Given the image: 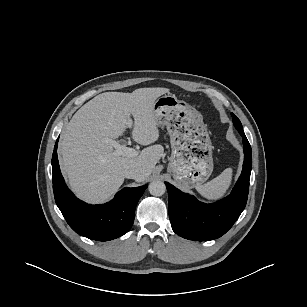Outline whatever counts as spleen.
Segmentation results:
<instances>
[{
	"instance_id": "1",
	"label": "spleen",
	"mask_w": 307,
	"mask_h": 307,
	"mask_svg": "<svg viewBox=\"0 0 307 307\" xmlns=\"http://www.w3.org/2000/svg\"><path fill=\"white\" fill-rule=\"evenodd\" d=\"M232 172V168H227L213 180L196 187V190L208 200L220 199L224 196L231 184Z\"/></svg>"
}]
</instances>
